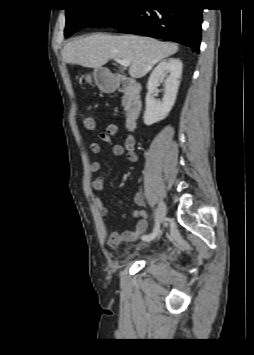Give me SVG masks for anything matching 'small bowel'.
Wrapping results in <instances>:
<instances>
[{"label": "small bowel", "mask_w": 254, "mask_h": 355, "mask_svg": "<svg viewBox=\"0 0 254 355\" xmlns=\"http://www.w3.org/2000/svg\"><path fill=\"white\" fill-rule=\"evenodd\" d=\"M119 128L115 124H110L107 126L106 130L100 133V140L111 146V155L114 157L125 155L126 158L131 162H136L138 157L135 152V139L132 135L127 134L125 136L124 144H112V137L117 135ZM90 149L93 153L99 154L102 150L101 145L97 141H93L90 144ZM101 170V162L95 161L91 165V172L97 173ZM104 179L99 176L96 177L92 182V188L95 192H100L104 190ZM94 204L102 217L108 215V208L103 202L102 198L98 194L93 196ZM134 203L141 207L144 204L143 198L140 193L134 195ZM118 206L122 207V202L120 199H116ZM132 217L137 219L135 230H125L123 232H109V242L112 245H120L122 243L133 242L137 239L140 234H143L148 229V215L142 210L138 209L132 212ZM125 215L122 214L120 219H124Z\"/></svg>", "instance_id": "1"}]
</instances>
